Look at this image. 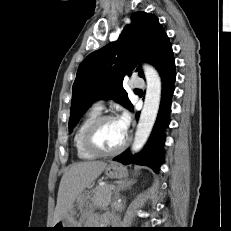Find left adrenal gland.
<instances>
[{
  "label": "left adrenal gland",
  "instance_id": "1",
  "mask_svg": "<svg viewBox=\"0 0 231 231\" xmlns=\"http://www.w3.org/2000/svg\"><path fill=\"white\" fill-rule=\"evenodd\" d=\"M135 183H136V180H135V179H130V180H125L123 183L117 185V188H116V191H115L116 197L119 196V192H120L121 190L130 189L131 186H132L133 184H135Z\"/></svg>",
  "mask_w": 231,
  "mask_h": 231
}]
</instances>
